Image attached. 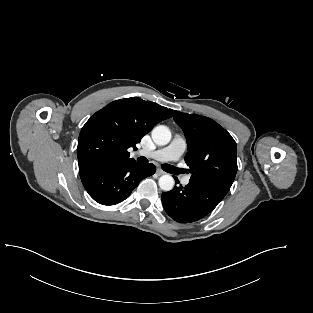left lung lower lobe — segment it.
Wrapping results in <instances>:
<instances>
[{
  "mask_svg": "<svg viewBox=\"0 0 313 313\" xmlns=\"http://www.w3.org/2000/svg\"><path fill=\"white\" fill-rule=\"evenodd\" d=\"M224 197L218 191L189 182L185 187L175 186L171 191L162 193V203L172 219L191 223L212 212Z\"/></svg>",
  "mask_w": 313,
  "mask_h": 313,
  "instance_id": "left-lung-lower-lobe-1",
  "label": "left lung lower lobe"
}]
</instances>
